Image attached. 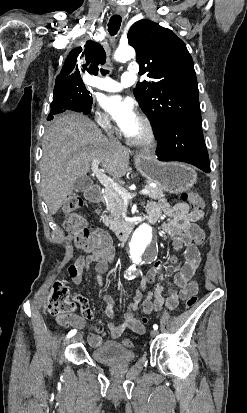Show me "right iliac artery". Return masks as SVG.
Masks as SVG:
<instances>
[{
	"mask_svg": "<svg viewBox=\"0 0 247 413\" xmlns=\"http://www.w3.org/2000/svg\"><path fill=\"white\" fill-rule=\"evenodd\" d=\"M76 333H77V330H76V329L71 330V331L68 333L67 338H70V337L74 336Z\"/></svg>",
	"mask_w": 247,
	"mask_h": 413,
	"instance_id": "obj_1",
	"label": "right iliac artery"
}]
</instances>
